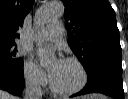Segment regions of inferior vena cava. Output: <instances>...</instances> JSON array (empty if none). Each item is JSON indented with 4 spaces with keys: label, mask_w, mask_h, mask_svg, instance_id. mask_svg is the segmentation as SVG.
Returning a JSON list of instances; mask_svg holds the SVG:
<instances>
[{
    "label": "inferior vena cava",
    "mask_w": 128,
    "mask_h": 99,
    "mask_svg": "<svg viewBox=\"0 0 128 99\" xmlns=\"http://www.w3.org/2000/svg\"><path fill=\"white\" fill-rule=\"evenodd\" d=\"M25 99H42V90L39 80L29 78L25 86Z\"/></svg>",
    "instance_id": "inferior-vena-cava-1"
}]
</instances>
